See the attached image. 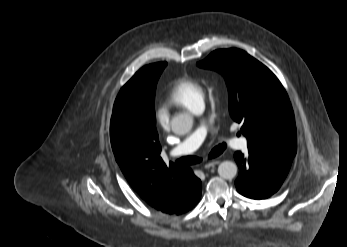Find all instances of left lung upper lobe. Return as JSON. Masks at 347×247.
I'll use <instances>...</instances> for the list:
<instances>
[{"label": "left lung upper lobe", "mask_w": 347, "mask_h": 247, "mask_svg": "<svg viewBox=\"0 0 347 247\" xmlns=\"http://www.w3.org/2000/svg\"><path fill=\"white\" fill-rule=\"evenodd\" d=\"M220 72L228 87L232 119L243 123L248 150L295 156L296 126L288 95L278 78L246 52L231 48L198 62Z\"/></svg>", "instance_id": "obj_1"}]
</instances>
